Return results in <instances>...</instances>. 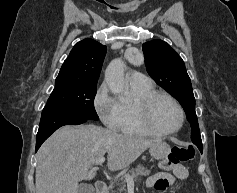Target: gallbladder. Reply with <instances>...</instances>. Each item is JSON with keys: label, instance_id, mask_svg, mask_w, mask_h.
<instances>
[{"label": "gallbladder", "instance_id": "obj_1", "mask_svg": "<svg viewBox=\"0 0 237 193\" xmlns=\"http://www.w3.org/2000/svg\"><path fill=\"white\" fill-rule=\"evenodd\" d=\"M77 193H94V189L91 185L80 184Z\"/></svg>", "mask_w": 237, "mask_h": 193}]
</instances>
